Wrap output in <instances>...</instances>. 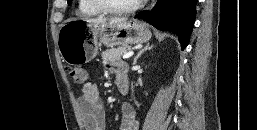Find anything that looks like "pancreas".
<instances>
[{"instance_id":"obj_1","label":"pancreas","mask_w":257,"mask_h":130,"mask_svg":"<svg viewBox=\"0 0 257 130\" xmlns=\"http://www.w3.org/2000/svg\"><path fill=\"white\" fill-rule=\"evenodd\" d=\"M129 49L130 47L127 45L120 46L118 48H112L102 52L101 57L105 62L116 64L121 60L122 55Z\"/></svg>"}]
</instances>
